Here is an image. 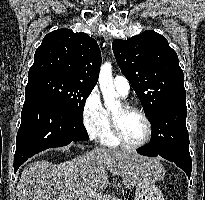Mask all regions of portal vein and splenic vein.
<instances>
[{"mask_svg": "<svg viewBox=\"0 0 205 200\" xmlns=\"http://www.w3.org/2000/svg\"><path fill=\"white\" fill-rule=\"evenodd\" d=\"M76 194L77 195H82L83 193L82 192H77ZM88 196L90 198H92L93 200H105L102 196H100L97 193H93V192L89 193Z\"/></svg>", "mask_w": 205, "mask_h": 200, "instance_id": "obj_1", "label": "portal vein and splenic vein"}]
</instances>
